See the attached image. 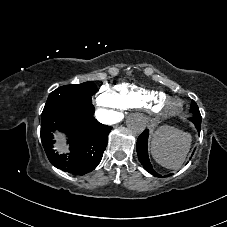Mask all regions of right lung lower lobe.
<instances>
[{
	"label": "right lung lower lobe",
	"mask_w": 227,
	"mask_h": 227,
	"mask_svg": "<svg viewBox=\"0 0 227 227\" xmlns=\"http://www.w3.org/2000/svg\"><path fill=\"white\" fill-rule=\"evenodd\" d=\"M92 104L66 103L42 115L41 141L49 161L62 171L84 175L101 161L112 127L99 123ZM68 135L70 153L59 155L53 149V132Z\"/></svg>",
	"instance_id": "1"
}]
</instances>
